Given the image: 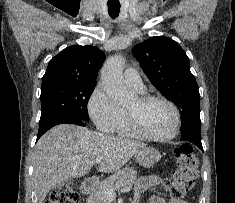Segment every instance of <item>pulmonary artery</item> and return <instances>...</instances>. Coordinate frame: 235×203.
Masks as SVG:
<instances>
[{
  "mask_svg": "<svg viewBox=\"0 0 235 203\" xmlns=\"http://www.w3.org/2000/svg\"><path fill=\"white\" fill-rule=\"evenodd\" d=\"M124 82L131 88L143 92L145 87L137 70L128 68L124 72Z\"/></svg>",
  "mask_w": 235,
  "mask_h": 203,
  "instance_id": "obj_1",
  "label": "pulmonary artery"
}]
</instances>
